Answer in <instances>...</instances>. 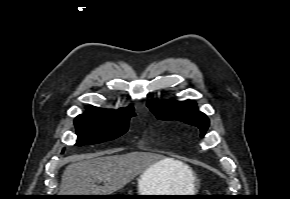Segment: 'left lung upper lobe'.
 <instances>
[{
	"instance_id": "5c2ea615",
	"label": "left lung upper lobe",
	"mask_w": 290,
	"mask_h": 199,
	"mask_svg": "<svg viewBox=\"0 0 290 199\" xmlns=\"http://www.w3.org/2000/svg\"><path fill=\"white\" fill-rule=\"evenodd\" d=\"M148 107L159 119L179 120L197 126L201 130V136L205 135L209 127V119L197 110L196 103L192 100H170L163 103L154 100L148 103Z\"/></svg>"
}]
</instances>
